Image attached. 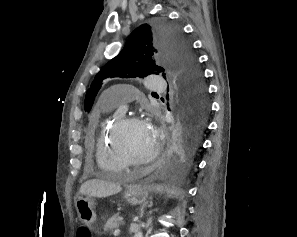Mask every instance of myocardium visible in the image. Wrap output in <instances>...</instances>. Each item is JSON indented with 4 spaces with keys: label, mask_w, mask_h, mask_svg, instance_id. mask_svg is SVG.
<instances>
[{
    "label": "myocardium",
    "mask_w": 297,
    "mask_h": 237,
    "mask_svg": "<svg viewBox=\"0 0 297 237\" xmlns=\"http://www.w3.org/2000/svg\"><path fill=\"white\" fill-rule=\"evenodd\" d=\"M135 122L143 121L140 117L135 115L120 117L114 124L109 137V142L114 154L125 167L150 165L159 158L161 153V146L159 143L156 144L154 151L144 159H134L125 151L120 142L121 132L128 125Z\"/></svg>",
    "instance_id": "myocardium-1"
}]
</instances>
